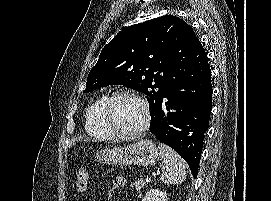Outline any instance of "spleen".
<instances>
[{
  "label": "spleen",
  "instance_id": "obj_1",
  "mask_svg": "<svg viewBox=\"0 0 271 201\" xmlns=\"http://www.w3.org/2000/svg\"><path fill=\"white\" fill-rule=\"evenodd\" d=\"M158 149L166 166L160 180L165 184H181L186 179L185 161L176 151L165 144L159 143Z\"/></svg>",
  "mask_w": 271,
  "mask_h": 201
}]
</instances>
